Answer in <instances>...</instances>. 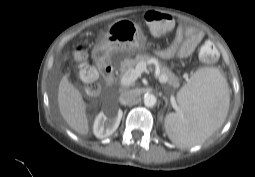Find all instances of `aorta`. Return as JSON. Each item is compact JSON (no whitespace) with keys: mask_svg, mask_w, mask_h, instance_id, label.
<instances>
[{"mask_svg":"<svg viewBox=\"0 0 255 177\" xmlns=\"http://www.w3.org/2000/svg\"><path fill=\"white\" fill-rule=\"evenodd\" d=\"M157 102V99L155 97V95L153 94H146L144 96V104L147 107H153Z\"/></svg>","mask_w":255,"mask_h":177,"instance_id":"obj_1","label":"aorta"}]
</instances>
